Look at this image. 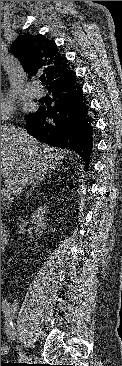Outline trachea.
Instances as JSON below:
<instances>
[{"label": "trachea", "instance_id": "1", "mask_svg": "<svg viewBox=\"0 0 122 366\" xmlns=\"http://www.w3.org/2000/svg\"><path fill=\"white\" fill-rule=\"evenodd\" d=\"M40 80H41V82H45L46 81V77L45 76H41L40 77Z\"/></svg>", "mask_w": 122, "mask_h": 366}]
</instances>
